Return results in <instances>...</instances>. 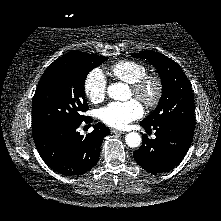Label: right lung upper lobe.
Returning <instances> with one entry per match:
<instances>
[{
  "instance_id": "obj_1",
  "label": "right lung upper lobe",
  "mask_w": 221,
  "mask_h": 221,
  "mask_svg": "<svg viewBox=\"0 0 221 221\" xmlns=\"http://www.w3.org/2000/svg\"><path fill=\"white\" fill-rule=\"evenodd\" d=\"M78 54H83V52H71V53H68V54H66V55H64V56H74V55H78Z\"/></svg>"
}]
</instances>
